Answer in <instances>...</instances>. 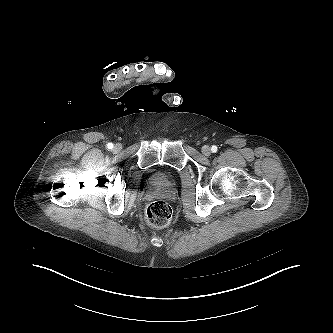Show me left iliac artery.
<instances>
[{
  "label": "left iliac artery",
  "mask_w": 333,
  "mask_h": 333,
  "mask_svg": "<svg viewBox=\"0 0 333 333\" xmlns=\"http://www.w3.org/2000/svg\"><path fill=\"white\" fill-rule=\"evenodd\" d=\"M217 150H218L217 146L213 145V146L211 147V151H212L213 153L217 152Z\"/></svg>",
  "instance_id": "left-iliac-artery-1"
}]
</instances>
